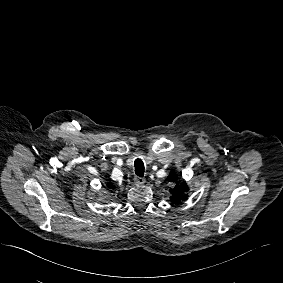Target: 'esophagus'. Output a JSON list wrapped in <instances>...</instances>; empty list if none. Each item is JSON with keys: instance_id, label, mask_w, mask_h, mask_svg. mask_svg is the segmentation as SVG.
I'll use <instances>...</instances> for the list:
<instances>
[{"instance_id": "esophagus-1", "label": "esophagus", "mask_w": 283, "mask_h": 283, "mask_svg": "<svg viewBox=\"0 0 283 283\" xmlns=\"http://www.w3.org/2000/svg\"><path fill=\"white\" fill-rule=\"evenodd\" d=\"M145 182H146V179L145 178H142V177H135L134 178V183H135V185H143V184H145Z\"/></svg>"}]
</instances>
